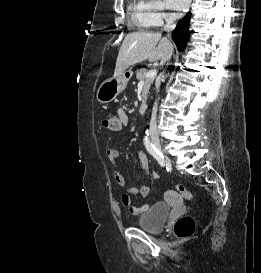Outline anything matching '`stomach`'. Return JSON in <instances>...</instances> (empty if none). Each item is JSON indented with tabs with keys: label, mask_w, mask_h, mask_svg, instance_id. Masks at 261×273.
Returning <instances> with one entry per match:
<instances>
[{
	"label": "stomach",
	"mask_w": 261,
	"mask_h": 273,
	"mask_svg": "<svg viewBox=\"0 0 261 273\" xmlns=\"http://www.w3.org/2000/svg\"><path fill=\"white\" fill-rule=\"evenodd\" d=\"M132 75V71L127 70L118 77L106 79L97 90V101L102 104H107L114 100L117 95L125 89Z\"/></svg>",
	"instance_id": "0dacf381"
}]
</instances>
